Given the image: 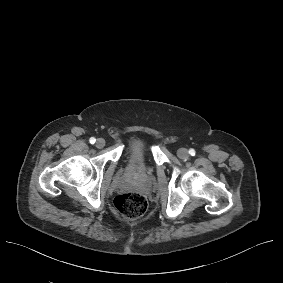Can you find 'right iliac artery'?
<instances>
[{"instance_id": "82829eb1", "label": "right iliac artery", "mask_w": 283, "mask_h": 283, "mask_svg": "<svg viewBox=\"0 0 283 283\" xmlns=\"http://www.w3.org/2000/svg\"><path fill=\"white\" fill-rule=\"evenodd\" d=\"M89 141H90L91 144H94L96 139L94 137H91Z\"/></svg>"}]
</instances>
